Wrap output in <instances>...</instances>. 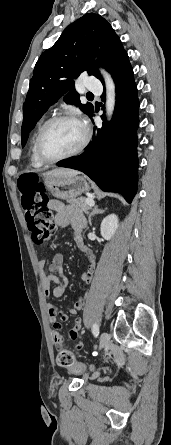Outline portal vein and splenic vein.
Wrapping results in <instances>:
<instances>
[{"label":"portal vein and splenic vein","mask_w":171,"mask_h":445,"mask_svg":"<svg viewBox=\"0 0 171 445\" xmlns=\"http://www.w3.org/2000/svg\"><path fill=\"white\" fill-rule=\"evenodd\" d=\"M86 203H87L90 207L94 206V201H93L92 199H90V198H87V199H86Z\"/></svg>","instance_id":"18ae733b"}]
</instances>
